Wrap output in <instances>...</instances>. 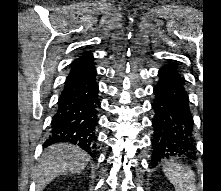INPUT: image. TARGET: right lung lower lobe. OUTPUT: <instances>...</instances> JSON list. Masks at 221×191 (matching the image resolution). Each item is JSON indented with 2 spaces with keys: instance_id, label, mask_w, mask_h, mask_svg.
Returning a JSON list of instances; mask_svg holds the SVG:
<instances>
[{
  "instance_id": "right-lung-lower-lobe-1",
  "label": "right lung lower lobe",
  "mask_w": 221,
  "mask_h": 191,
  "mask_svg": "<svg viewBox=\"0 0 221 191\" xmlns=\"http://www.w3.org/2000/svg\"><path fill=\"white\" fill-rule=\"evenodd\" d=\"M96 74L90 52L73 62L59 97L50 135L45 142L46 147L60 142L72 143L95 157V130L101 104Z\"/></svg>"
}]
</instances>
